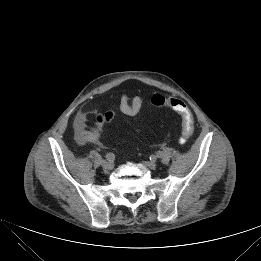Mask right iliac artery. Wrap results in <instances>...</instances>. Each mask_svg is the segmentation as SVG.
<instances>
[{
	"label": "right iliac artery",
	"instance_id": "right-iliac-artery-1",
	"mask_svg": "<svg viewBox=\"0 0 261 261\" xmlns=\"http://www.w3.org/2000/svg\"><path fill=\"white\" fill-rule=\"evenodd\" d=\"M105 158L109 161V162H111V163H113L114 161H115V155L113 154V153H107L106 154V156H105Z\"/></svg>",
	"mask_w": 261,
	"mask_h": 261
}]
</instances>
